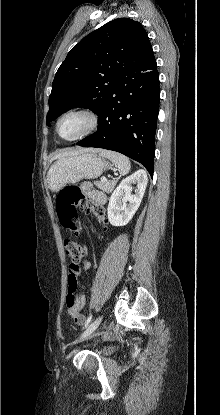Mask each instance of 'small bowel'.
<instances>
[{"label": "small bowel", "instance_id": "1", "mask_svg": "<svg viewBox=\"0 0 220 415\" xmlns=\"http://www.w3.org/2000/svg\"><path fill=\"white\" fill-rule=\"evenodd\" d=\"M84 192L86 195L87 207L90 209H93V206L96 204L102 205L106 202L105 194L100 191L85 189ZM97 218L102 224H105V216L97 217ZM90 267H91L90 261L87 258L83 259L81 262L82 272L88 271ZM84 306H85V297L81 294H76L75 302L73 305H66L68 316L76 324L80 326H83L86 323V318L83 313Z\"/></svg>", "mask_w": 220, "mask_h": 415}]
</instances>
